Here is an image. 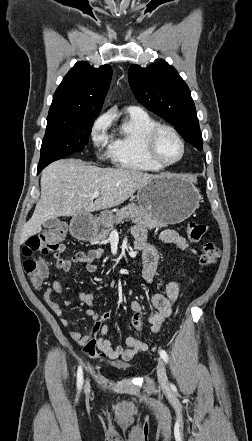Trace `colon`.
Segmentation results:
<instances>
[{"mask_svg":"<svg viewBox=\"0 0 252 441\" xmlns=\"http://www.w3.org/2000/svg\"><path fill=\"white\" fill-rule=\"evenodd\" d=\"M207 227L195 221H189L186 224V234L193 242H198L204 236ZM66 235V227L63 223L57 224L44 232L34 235L28 239L23 247L24 270L29 275L34 286H41L48 275L46 264L41 259L34 258L35 253L46 255L50 252H63L66 249L64 239ZM220 256L219 248L211 242L203 245L199 263L202 267H209L216 263ZM111 311L107 310L100 313V317L96 320L94 329L100 328L101 324L108 321L111 317ZM131 326L141 331L143 329V320L141 311L132 312L130 317ZM84 353L90 358L103 357L95 339H89L84 343Z\"/></svg>","mask_w":252,"mask_h":441,"instance_id":"colon-1","label":"colon"}]
</instances>
